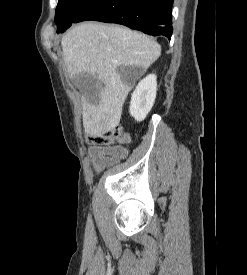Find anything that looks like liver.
I'll use <instances>...</instances> for the list:
<instances>
[{
    "label": "liver",
    "instance_id": "6515ba94",
    "mask_svg": "<svg viewBox=\"0 0 247 275\" xmlns=\"http://www.w3.org/2000/svg\"><path fill=\"white\" fill-rule=\"evenodd\" d=\"M61 46L70 78L86 73L102 84L97 95L82 100L84 131L94 138L119 125L132 88L119 69L137 67L146 71L161 54L160 45L143 33L94 22L71 29L63 36Z\"/></svg>",
    "mask_w": 247,
    "mask_h": 275
}]
</instances>
